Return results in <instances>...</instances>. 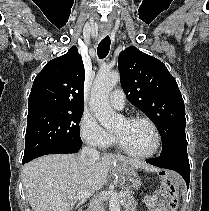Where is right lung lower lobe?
Returning <instances> with one entry per match:
<instances>
[{
  "label": "right lung lower lobe",
  "instance_id": "right-lung-lower-lobe-1",
  "mask_svg": "<svg viewBox=\"0 0 209 211\" xmlns=\"http://www.w3.org/2000/svg\"><path fill=\"white\" fill-rule=\"evenodd\" d=\"M79 149H80V147H77V146H58V147L49 148L45 151L38 153L37 155L33 156L29 160L23 161V164L28 163L29 161H31L37 157L43 156V155L61 154V153H77L79 151Z\"/></svg>",
  "mask_w": 209,
  "mask_h": 211
}]
</instances>
